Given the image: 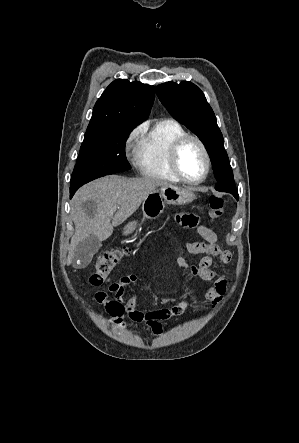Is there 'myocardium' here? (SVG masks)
I'll return each instance as SVG.
<instances>
[{
	"mask_svg": "<svg viewBox=\"0 0 299 443\" xmlns=\"http://www.w3.org/2000/svg\"><path fill=\"white\" fill-rule=\"evenodd\" d=\"M188 141L196 142L199 145V147L202 151L203 157H204V173L198 179H190V178L186 177L180 168L179 153H180L182 147L184 146V144L187 143ZM169 159H170V166H171L172 171L184 183L191 184V185L200 184V183L204 182L209 175L210 168H211L210 155H209L206 145L198 136L191 135V134H185V135L181 136L180 138H178L171 146Z\"/></svg>",
	"mask_w": 299,
	"mask_h": 443,
	"instance_id": "1",
	"label": "myocardium"
}]
</instances>
